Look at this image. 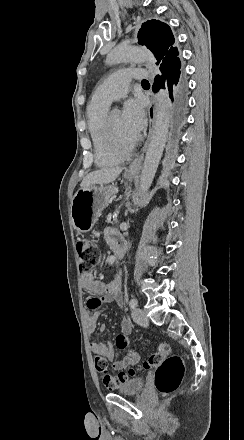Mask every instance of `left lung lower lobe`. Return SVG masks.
<instances>
[{"instance_id":"left-lung-lower-lobe-1","label":"left lung lower lobe","mask_w":244,"mask_h":440,"mask_svg":"<svg viewBox=\"0 0 244 440\" xmlns=\"http://www.w3.org/2000/svg\"><path fill=\"white\" fill-rule=\"evenodd\" d=\"M160 70L162 75L156 76L152 89L157 92L159 88H164V82H167L171 99L167 145L172 149L180 141L186 120L187 83L179 58L169 65L160 67Z\"/></svg>"}]
</instances>
